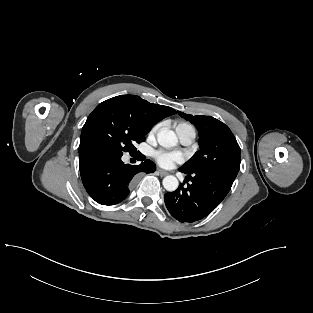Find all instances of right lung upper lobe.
Wrapping results in <instances>:
<instances>
[{
    "mask_svg": "<svg viewBox=\"0 0 313 313\" xmlns=\"http://www.w3.org/2000/svg\"><path fill=\"white\" fill-rule=\"evenodd\" d=\"M108 102H116V103H119L121 105H124L130 108L133 112H135L139 116L142 123L146 125L147 127H149L150 129L158 121L176 113V111L170 107L149 103L146 100L136 95H120V96H116L114 98L108 99L102 102L101 104H99L94 109V111L89 115L86 123L84 124L82 128V133H81L79 152L90 148V145L88 143V137H87V127L89 125V122L93 118L94 114L96 113V111L103 104L108 103Z\"/></svg>",
    "mask_w": 313,
    "mask_h": 313,
    "instance_id": "1",
    "label": "right lung upper lobe"
}]
</instances>
